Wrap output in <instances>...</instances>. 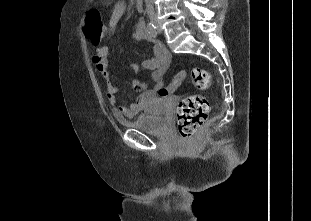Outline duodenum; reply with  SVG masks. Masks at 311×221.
<instances>
[{
  "label": "duodenum",
  "instance_id": "obj_1",
  "mask_svg": "<svg viewBox=\"0 0 311 221\" xmlns=\"http://www.w3.org/2000/svg\"><path fill=\"white\" fill-rule=\"evenodd\" d=\"M135 3H136V7L138 10H143L144 5H145V0H135ZM139 24L141 27H145V21L144 20H141Z\"/></svg>",
  "mask_w": 311,
  "mask_h": 221
}]
</instances>
